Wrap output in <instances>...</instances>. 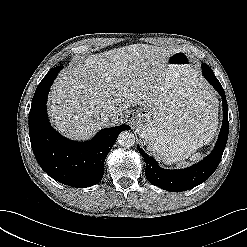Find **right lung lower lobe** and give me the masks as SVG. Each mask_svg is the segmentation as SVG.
I'll return each instance as SVG.
<instances>
[{"label":"right lung lower lobe","mask_w":247,"mask_h":247,"mask_svg":"<svg viewBox=\"0 0 247 247\" xmlns=\"http://www.w3.org/2000/svg\"><path fill=\"white\" fill-rule=\"evenodd\" d=\"M62 68H52L35 91L29 112L31 146L38 164L53 179L76 188L89 187L101 181L109 151L118 135L131 127L103 129L89 142L71 141L53 130L46 112L47 96Z\"/></svg>","instance_id":"obj_1"}]
</instances>
